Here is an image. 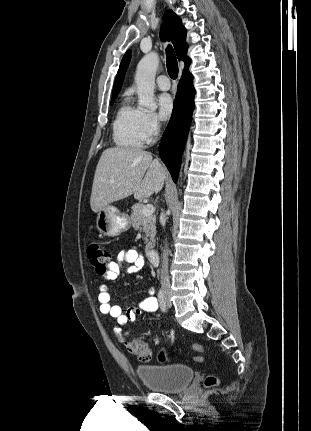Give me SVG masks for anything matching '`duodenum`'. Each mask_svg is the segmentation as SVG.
Segmentation results:
<instances>
[{
	"label": "duodenum",
	"mask_w": 311,
	"mask_h": 431,
	"mask_svg": "<svg viewBox=\"0 0 311 431\" xmlns=\"http://www.w3.org/2000/svg\"><path fill=\"white\" fill-rule=\"evenodd\" d=\"M148 260L151 264L157 265L159 261V253L156 249L151 248L146 253Z\"/></svg>",
	"instance_id": "410a0bca"
}]
</instances>
